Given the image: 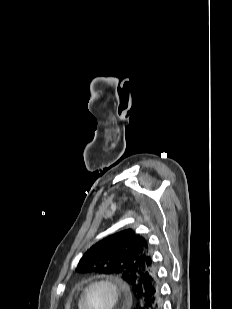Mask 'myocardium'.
<instances>
[{
	"label": "myocardium",
	"instance_id": "myocardium-1",
	"mask_svg": "<svg viewBox=\"0 0 232 309\" xmlns=\"http://www.w3.org/2000/svg\"><path fill=\"white\" fill-rule=\"evenodd\" d=\"M95 286H102L106 288L112 298L108 309H117L123 296V291L119 283L109 278H97L86 285L80 297V309H86V295L88 291Z\"/></svg>",
	"mask_w": 232,
	"mask_h": 309
}]
</instances>
